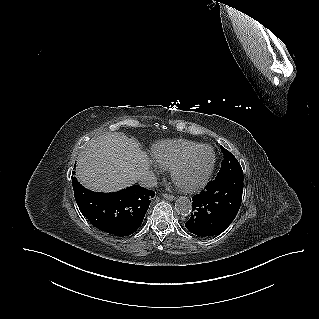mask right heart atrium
<instances>
[{
	"mask_svg": "<svg viewBox=\"0 0 319 319\" xmlns=\"http://www.w3.org/2000/svg\"><path fill=\"white\" fill-rule=\"evenodd\" d=\"M153 169H154L155 172H158V171H159L156 166H154Z\"/></svg>",
	"mask_w": 319,
	"mask_h": 319,
	"instance_id": "1",
	"label": "right heart atrium"
}]
</instances>
